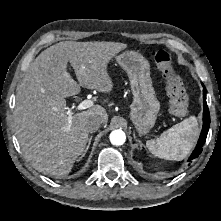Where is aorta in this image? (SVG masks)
Masks as SVG:
<instances>
[{
  "mask_svg": "<svg viewBox=\"0 0 221 221\" xmlns=\"http://www.w3.org/2000/svg\"><path fill=\"white\" fill-rule=\"evenodd\" d=\"M109 138H110V142L116 146H121L126 141V135L124 131H122L121 129L113 130L110 133Z\"/></svg>",
  "mask_w": 221,
  "mask_h": 221,
  "instance_id": "obj_1",
  "label": "aorta"
}]
</instances>
